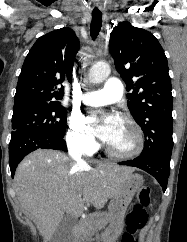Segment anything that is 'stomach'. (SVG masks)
Listing matches in <instances>:
<instances>
[{"instance_id":"0dacf381","label":"stomach","mask_w":187,"mask_h":242,"mask_svg":"<svg viewBox=\"0 0 187 242\" xmlns=\"http://www.w3.org/2000/svg\"><path fill=\"white\" fill-rule=\"evenodd\" d=\"M144 183L143 177L131 173L126 180L124 188L112 197L108 209V227L101 233L102 242H116L124 227V218L127 207L133 196Z\"/></svg>"}]
</instances>
